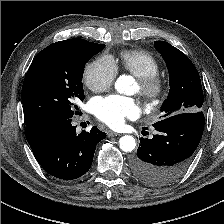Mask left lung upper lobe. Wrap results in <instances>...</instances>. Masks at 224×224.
<instances>
[{
  "instance_id": "5c2ea615",
  "label": "left lung upper lobe",
  "mask_w": 224,
  "mask_h": 224,
  "mask_svg": "<svg viewBox=\"0 0 224 224\" xmlns=\"http://www.w3.org/2000/svg\"><path fill=\"white\" fill-rule=\"evenodd\" d=\"M154 45L165 60L170 77L169 94L161 107L164 112L162 117L201 111L204 96L196 67L184 53L169 43L155 41Z\"/></svg>"
}]
</instances>
